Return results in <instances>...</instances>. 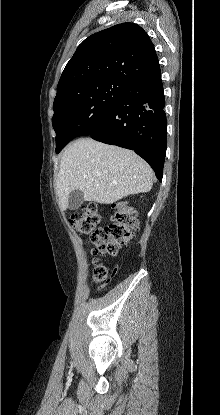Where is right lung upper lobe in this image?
<instances>
[{"label":"right lung upper lobe","mask_w":220,"mask_h":415,"mask_svg":"<svg viewBox=\"0 0 220 415\" xmlns=\"http://www.w3.org/2000/svg\"><path fill=\"white\" fill-rule=\"evenodd\" d=\"M160 72L154 45L134 23H122L85 39L67 63L57 93L81 82L119 79L136 84Z\"/></svg>","instance_id":"obj_1"}]
</instances>
